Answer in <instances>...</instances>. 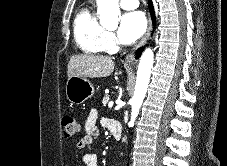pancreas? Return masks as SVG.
<instances>
[{"label": "pancreas", "instance_id": "cf45deb5", "mask_svg": "<svg viewBox=\"0 0 227 166\" xmlns=\"http://www.w3.org/2000/svg\"><path fill=\"white\" fill-rule=\"evenodd\" d=\"M109 100H110L109 95H105L103 97V101H102L103 106H106V104L109 102Z\"/></svg>", "mask_w": 227, "mask_h": 166}]
</instances>
